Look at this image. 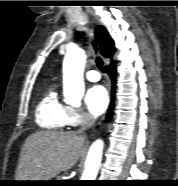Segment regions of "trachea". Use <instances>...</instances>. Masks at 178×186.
Here are the masks:
<instances>
[{
    "mask_svg": "<svg viewBox=\"0 0 178 186\" xmlns=\"http://www.w3.org/2000/svg\"><path fill=\"white\" fill-rule=\"evenodd\" d=\"M92 45L94 47L95 53L97 55V47L94 42H92ZM96 64L98 68L100 69L101 72H104V66H103V61L99 56H96Z\"/></svg>",
    "mask_w": 178,
    "mask_h": 186,
    "instance_id": "obj_1",
    "label": "trachea"
}]
</instances>
